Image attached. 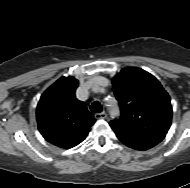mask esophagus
<instances>
[{
  "mask_svg": "<svg viewBox=\"0 0 190 188\" xmlns=\"http://www.w3.org/2000/svg\"><path fill=\"white\" fill-rule=\"evenodd\" d=\"M94 117H95L96 119H106V118H107V114H106L105 112L96 113V114L94 115Z\"/></svg>",
  "mask_w": 190,
  "mask_h": 188,
  "instance_id": "obj_1",
  "label": "esophagus"
}]
</instances>
